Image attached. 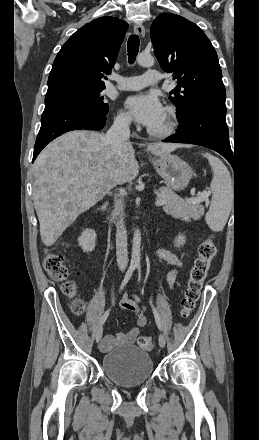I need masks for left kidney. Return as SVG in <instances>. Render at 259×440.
I'll use <instances>...</instances> for the list:
<instances>
[{
	"label": "left kidney",
	"instance_id": "5707ae66",
	"mask_svg": "<svg viewBox=\"0 0 259 440\" xmlns=\"http://www.w3.org/2000/svg\"><path fill=\"white\" fill-rule=\"evenodd\" d=\"M185 242H186V237L182 234H179L174 240V245L176 247H180V246L184 245Z\"/></svg>",
	"mask_w": 259,
	"mask_h": 440
}]
</instances>
